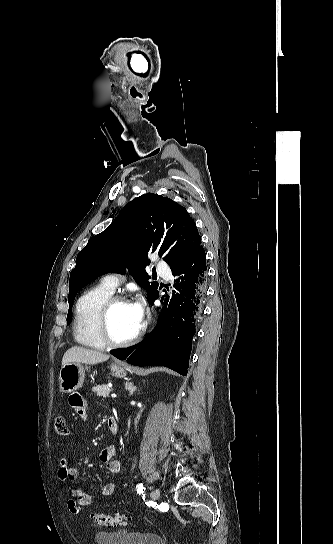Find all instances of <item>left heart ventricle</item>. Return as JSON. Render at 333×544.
Listing matches in <instances>:
<instances>
[{"label":"left heart ventricle","instance_id":"1","mask_svg":"<svg viewBox=\"0 0 333 544\" xmlns=\"http://www.w3.org/2000/svg\"><path fill=\"white\" fill-rule=\"evenodd\" d=\"M111 335L116 340H126L133 336L139 328L136 323L130 304H117L111 311L109 318Z\"/></svg>","mask_w":333,"mask_h":544}]
</instances>
